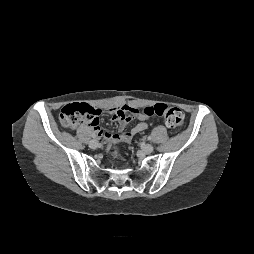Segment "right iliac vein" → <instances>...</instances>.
<instances>
[{
	"label": "right iliac vein",
	"mask_w": 254,
	"mask_h": 254,
	"mask_svg": "<svg viewBox=\"0 0 254 254\" xmlns=\"http://www.w3.org/2000/svg\"><path fill=\"white\" fill-rule=\"evenodd\" d=\"M99 146V143H98V141L97 140H91L90 142H89V147L90 148H92V149H96L97 147Z\"/></svg>",
	"instance_id": "1"
}]
</instances>
